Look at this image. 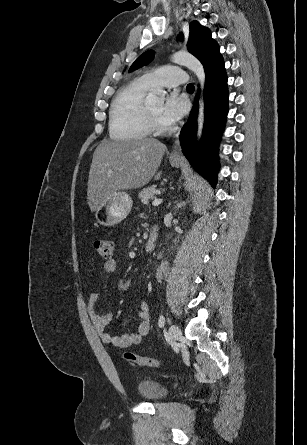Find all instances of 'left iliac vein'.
<instances>
[{
    "mask_svg": "<svg viewBox=\"0 0 307 445\" xmlns=\"http://www.w3.org/2000/svg\"><path fill=\"white\" fill-rule=\"evenodd\" d=\"M181 335H182L181 330L177 325L172 324L169 327L168 339L171 343L176 342L181 337Z\"/></svg>",
    "mask_w": 307,
    "mask_h": 445,
    "instance_id": "1",
    "label": "left iliac vein"
}]
</instances>
